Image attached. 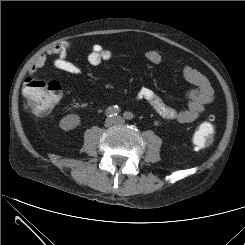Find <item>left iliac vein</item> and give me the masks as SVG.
I'll list each match as a JSON object with an SVG mask.
<instances>
[{
	"mask_svg": "<svg viewBox=\"0 0 245 245\" xmlns=\"http://www.w3.org/2000/svg\"><path fill=\"white\" fill-rule=\"evenodd\" d=\"M117 119L119 124H122L124 122V120L121 117H118Z\"/></svg>",
	"mask_w": 245,
	"mask_h": 245,
	"instance_id": "1",
	"label": "left iliac vein"
}]
</instances>
